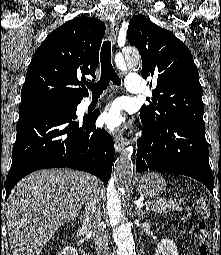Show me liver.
Here are the masks:
<instances>
[{
  "mask_svg": "<svg viewBox=\"0 0 221 255\" xmlns=\"http://www.w3.org/2000/svg\"><path fill=\"white\" fill-rule=\"evenodd\" d=\"M98 180L69 169L31 173L17 183L5 205L13 255H40L46 242L65 222L75 218Z\"/></svg>",
  "mask_w": 221,
  "mask_h": 255,
  "instance_id": "liver-1",
  "label": "liver"
}]
</instances>
